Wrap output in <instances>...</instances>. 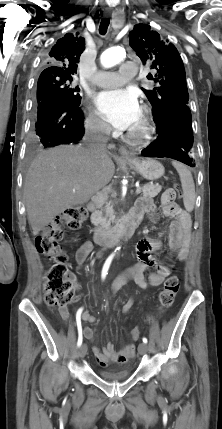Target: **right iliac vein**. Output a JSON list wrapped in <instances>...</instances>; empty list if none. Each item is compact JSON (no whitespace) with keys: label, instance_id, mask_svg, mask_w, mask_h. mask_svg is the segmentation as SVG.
Segmentation results:
<instances>
[{"label":"right iliac vein","instance_id":"1","mask_svg":"<svg viewBox=\"0 0 222 429\" xmlns=\"http://www.w3.org/2000/svg\"><path fill=\"white\" fill-rule=\"evenodd\" d=\"M86 353H87V346H86L85 344H82V345L79 347V350H78V356H79L80 358H83V357L86 355Z\"/></svg>","mask_w":222,"mask_h":429}]
</instances>
